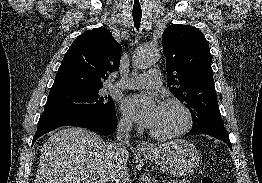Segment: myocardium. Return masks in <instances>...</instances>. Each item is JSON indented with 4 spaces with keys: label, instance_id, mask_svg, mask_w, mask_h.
I'll use <instances>...</instances> for the list:
<instances>
[{
    "label": "myocardium",
    "instance_id": "1",
    "mask_svg": "<svg viewBox=\"0 0 262 183\" xmlns=\"http://www.w3.org/2000/svg\"><path fill=\"white\" fill-rule=\"evenodd\" d=\"M161 104L163 105L174 104L178 106L184 112L185 117H186V122L182 128L170 134H159L150 129L149 134L153 138L157 140H171V139L177 138L185 134L186 132L190 130L193 124V115H192L190 108L183 101L176 99V98H167V99H164L161 102Z\"/></svg>",
    "mask_w": 262,
    "mask_h": 183
}]
</instances>
